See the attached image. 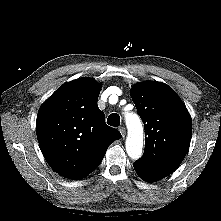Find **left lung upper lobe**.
Here are the masks:
<instances>
[{"label": "left lung upper lobe", "mask_w": 221, "mask_h": 221, "mask_svg": "<svg viewBox=\"0 0 221 221\" xmlns=\"http://www.w3.org/2000/svg\"><path fill=\"white\" fill-rule=\"evenodd\" d=\"M131 97L145 128V151L137 162L172 173L184 159L191 140L192 123L187 108L161 82L134 85Z\"/></svg>", "instance_id": "1"}]
</instances>
